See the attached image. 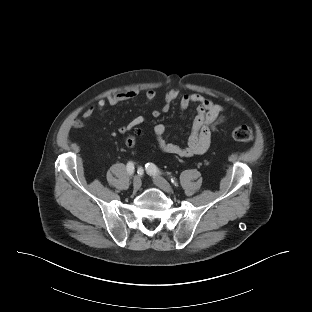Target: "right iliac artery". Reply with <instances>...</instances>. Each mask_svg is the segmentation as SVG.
Listing matches in <instances>:
<instances>
[{"mask_svg":"<svg viewBox=\"0 0 312 312\" xmlns=\"http://www.w3.org/2000/svg\"><path fill=\"white\" fill-rule=\"evenodd\" d=\"M127 172L130 176L134 174V163L131 161L127 163ZM138 174H143V169L141 167L138 168Z\"/></svg>","mask_w":312,"mask_h":312,"instance_id":"82829eb1","label":"right iliac artery"}]
</instances>
